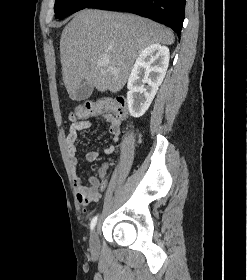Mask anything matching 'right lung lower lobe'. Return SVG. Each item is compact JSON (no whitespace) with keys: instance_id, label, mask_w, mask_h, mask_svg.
Segmentation results:
<instances>
[{"instance_id":"1","label":"right lung lower lobe","mask_w":247,"mask_h":280,"mask_svg":"<svg viewBox=\"0 0 247 280\" xmlns=\"http://www.w3.org/2000/svg\"><path fill=\"white\" fill-rule=\"evenodd\" d=\"M185 3V0H97L89 8L138 14L169 26L180 37Z\"/></svg>"}]
</instances>
